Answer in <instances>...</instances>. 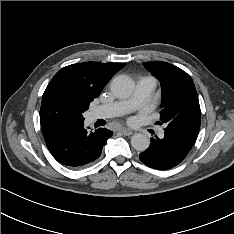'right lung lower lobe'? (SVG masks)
<instances>
[{"mask_svg":"<svg viewBox=\"0 0 234 234\" xmlns=\"http://www.w3.org/2000/svg\"><path fill=\"white\" fill-rule=\"evenodd\" d=\"M41 127L53 157L59 163L72 168H80L95 161L113 134L106 128L88 132L84 128V119L55 121Z\"/></svg>","mask_w":234,"mask_h":234,"instance_id":"right-lung-lower-lobe-1","label":"right lung lower lobe"}]
</instances>
